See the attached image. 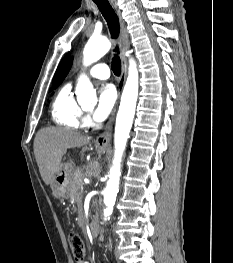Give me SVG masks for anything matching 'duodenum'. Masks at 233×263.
Here are the masks:
<instances>
[{"label":"duodenum","mask_w":233,"mask_h":263,"mask_svg":"<svg viewBox=\"0 0 233 263\" xmlns=\"http://www.w3.org/2000/svg\"><path fill=\"white\" fill-rule=\"evenodd\" d=\"M90 232L93 237H96L99 234V223L95 218L90 222Z\"/></svg>","instance_id":"410a0bca"}]
</instances>
